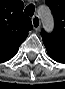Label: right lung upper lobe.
Segmentation results:
<instances>
[{"instance_id": "obj_1", "label": "right lung upper lobe", "mask_w": 65, "mask_h": 89, "mask_svg": "<svg viewBox=\"0 0 65 89\" xmlns=\"http://www.w3.org/2000/svg\"><path fill=\"white\" fill-rule=\"evenodd\" d=\"M19 0H0V63L10 60L33 29Z\"/></svg>"}]
</instances>
